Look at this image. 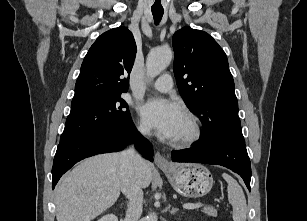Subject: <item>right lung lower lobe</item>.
Returning a JSON list of instances; mask_svg holds the SVG:
<instances>
[{"instance_id": "right-lung-lower-lobe-1", "label": "right lung lower lobe", "mask_w": 307, "mask_h": 221, "mask_svg": "<svg viewBox=\"0 0 307 221\" xmlns=\"http://www.w3.org/2000/svg\"><path fill=\"white\" fill-rule=\"evenodd\" d=\"M132 140L141 154L153 161L152 145L141 136L132 120L92 131L64 141H60L52 167V189L60 177L78 161L101 153L115 152L123 148V142Z\"/></svg>"}]
</instances>
